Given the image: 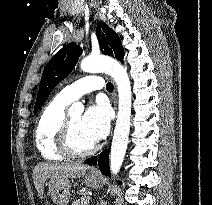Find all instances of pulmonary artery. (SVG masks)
I'll use <instances>...</instances> for the list:
<instances>
[{
  "instance_id": "e3ab8cb5",
  "label": "pulmonary artery",
  "mask_w": 212,
  "mask_h": 205,
  "mask_svg": "<svg viewBox=\"0 0 212 205\" xmlns=\"http://www.w3.org/2000/svg\"><path fill=\"white\" fill-rule=\"evenodd\" d=\"M103 86V80L100 76L89 75L64 87L57 96L65 102L70 103L86 93L102 89Z\"/></svg>"
}]
</instances>
